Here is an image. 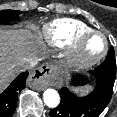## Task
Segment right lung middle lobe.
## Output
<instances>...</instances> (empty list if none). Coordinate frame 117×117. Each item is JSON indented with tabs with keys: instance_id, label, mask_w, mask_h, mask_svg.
I'll return each instance as SVG.
<instances>
[{
	"instance_id": "1",
	"label": "right lung middle lobe",
	"mask_w": 117,
	"mask_h": 117,
	"mask_svg": "<svg viewBox=\"0 0 117 117\" xmlns=\"http://www.w3.org/2000/svg\"><path fill=\"white\" fill-rule=\"evenodd\" d=\"M20 14H21V11H17V10L0 11V24L16 20Z\"/></svg>"
}]
</instances>
